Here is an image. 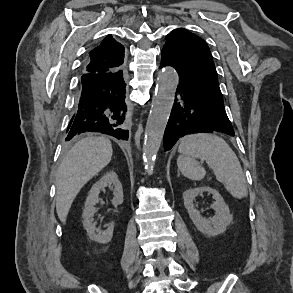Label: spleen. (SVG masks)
Wrapping results in <instances>:
<instances>
[{
    "label": "spleen",
    "instance_id": "1",
    "mask_svg": "<svg viewBox=\"0 0 293 293\" xmlns=\"http://www.w3.org/2000/svg\"><path fill=\"white\" fill-rule=\"evenodd\" d=\"M178 152V169L188 179L199 181L205 177V169L196 161L201 158L234 198L242 199L248 195L240 162L223 138L208 133L187 135L180 140Z\"/></svg>",
    "mask_w": 293,
    "mask_h": 293
}]
</instances>
